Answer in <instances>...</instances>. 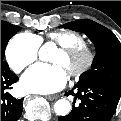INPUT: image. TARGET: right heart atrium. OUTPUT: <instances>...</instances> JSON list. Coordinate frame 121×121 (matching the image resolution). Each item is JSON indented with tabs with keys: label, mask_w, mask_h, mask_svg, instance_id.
Instances as JSON below:
<instances>
[{
	"label": "right heart atrium",
	"mask_w": 121,
	"mask_h": 121,
	"mask_svg": "<svg viewBox=\"0 0 121 121\" xmlns=\"http://www.w3.org/2000/svg\"><path fill=\"white\" fill-rule=\"evenodd\" d=\"M40 42L30 34H16L6 48V59L16 72L22 71L38 57Z\"/></svg>",
	"instance_id": "obj_1"
}]
</instances>
